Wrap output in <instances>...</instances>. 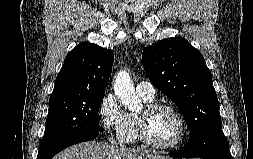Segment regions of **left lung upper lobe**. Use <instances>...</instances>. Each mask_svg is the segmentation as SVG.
I'll return each instance as SVG.
<instances>
[{"mask_svg": "<svg viewBox=\"0 0 253 159\" xmlns=\"http://www.w3.org/2000/svg\"><path fill=\"white\" fill-rule=\"evenodd\" d=\"M142 62L151 82L181 110L190 140H199L204 150L222 132V123L211 72L201 53L184 38L174 37L145 48Z\"/></svg>", "mask_w": 253, "mask_h": 159, "instance_id": "1", "label": "left lung upper lobe"}]
</instances>
